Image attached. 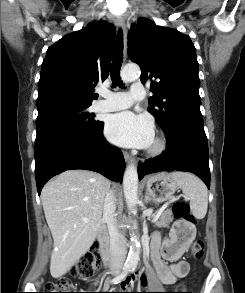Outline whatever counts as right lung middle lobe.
I'll return each mask as SVG.
<instances>
[{
  "instance_id": "obj_1",
  "label": "right lung middle lobe",
  "mask_w": 245,
  "mask_h": 293,
  "mask_svg": "<svg viewBox=\"0 0 245 293\" xmlns=\"http://www.w3.org/2000/svg\"><path fill=\"white\" fill-rule=\"evenodd\" d=\"M89 106L58 103L38 108L35 147L61 133L87 131L96 127L100 122L87 112Z\"/></svg>"
}]
</instances>
